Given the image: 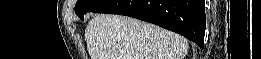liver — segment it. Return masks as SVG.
<instances>
[{"instance_id": "obj_1", "label": "liver", "mask_w": 261, "mask_h": 59, "mask_svg": "<svg viewBox=\"0 0 261 59\" xmlns=\"http://www.w3.org/2000/svg\"><path fill=\"white\" fill-rule=\"evenodd\" d=\"M85 40L91 59H183L188 52L182 36L118 15H95Z\"/></svg>"}]
</instances>
